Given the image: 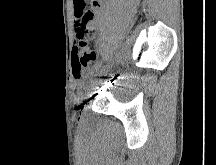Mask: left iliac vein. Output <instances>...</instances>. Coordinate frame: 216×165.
Returning <instances> with one entry per match:
<instances>
[{
    "instance_id": "1",
    "label": "left iliac vein",
    "mask_w": 216,
    "mask_h": 165,
    "mask_svg": "<svg viewBox=\"0 0 216 165\" xmlns=\"http://www.w3.org/2000/svg\"><path fill=\"white\" fill-rule=\"evenodd\" d=\"M110 66H111V63H108V64L106 65V69H109Z\"/></svg>"
}]
</instances>
